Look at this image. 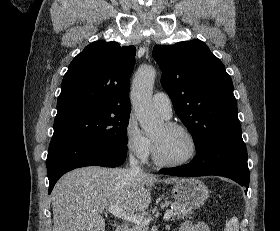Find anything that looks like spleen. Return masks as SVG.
<instances>
[{
	"mask_svg": "<svg viewBox=\"0 0 280 231\" xmlns=\"http://www.w3.org/2000/svg\"><path fill=\"white\" fill-rule=\"evenodd\" d=\"M225 231H239L238 217H231L226 223Z\"/></svg>",
	"mask_w": 280,
	"mask_h": 231,
	"instance_id": "3e777b00",
	"label": "spleen"
}]
</instances>
